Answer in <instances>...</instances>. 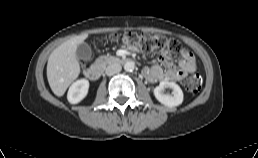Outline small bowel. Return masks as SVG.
Returning <instances> with one entry per match:
<instances>
[{"label": "small bowel", "instance_id": "c3829d8e", "mask_svg": "<svg viewBox=\"0 0 258 158\" xmlns=\"http://www.w3.org/2000/svg\"><path fill=\"white\" fill-rule=\"evenodd\" d=\"M160 64L153 65L151 68L145 69L143 74L152 82L170 81L178 82L184 79L188 74L196 71L194 56L191 52L184 49L182 59L178 66L171 61L169 53H162L159 56Z\"/></svg>", "mask_w": 258, "mask_h": 158}]
</instances>
